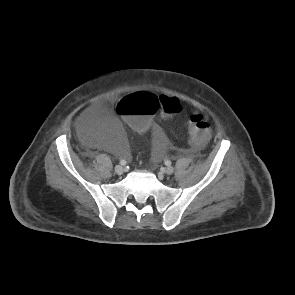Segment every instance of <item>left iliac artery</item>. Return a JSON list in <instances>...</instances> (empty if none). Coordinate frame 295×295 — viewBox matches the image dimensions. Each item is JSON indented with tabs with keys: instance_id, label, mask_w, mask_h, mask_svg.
Returning a JSON list of instances; mask_svg holds the SVG:
<instances>
[{
	"instance_id": "left-iliac-artery-1",
	"label": "left iliac artery",
	"mask_w": 295,
	"mask_h": 295,
	"mask_svg": "<svg viewBox=\"0 0 295 295\" xmlns=\"http://www.w3.org/2000/svg\"><path fill=\"white\" fill-rule=\"evenodd\" d=\"M165 164H166L167 166H170V165H171V161H170V160H166V161H165Z\"/></svg>"
}]
</instances>
